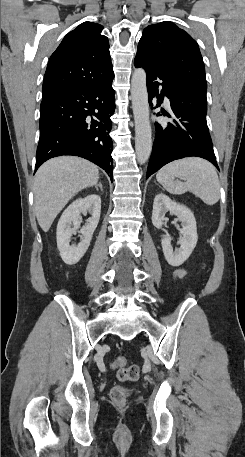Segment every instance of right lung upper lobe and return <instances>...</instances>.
Segmentation results:
<instances>
[{
    "label": "right lung upper lobe",
    "instance_id": "1",
    "mask_svg": "<svg viewBox=\"0 0 245 457\" xmlns=\"http://www.w3.org/2000/svg\"><path fill=\"white\" fill-rule=\"evenodd\" d=\"M103 27L84 22L68 33L51 55L44 76L43 99L69 88L114 75Z\"/></svg>",
    "mask_w": 245,
    "mask_h": 457
}]
</instances>
